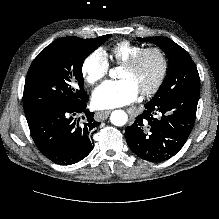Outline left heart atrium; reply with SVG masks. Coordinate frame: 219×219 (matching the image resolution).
I'll return each mask as SVG.
<instances>
[{
    "label": "left heart atrium",
    "mask_w": 219,
    "mask_h": 219,
    "mask_svg": "<svg viewBox=\"0 0 219 219\" xmlns=\"http://www.w3.org/2000/svg\"><path fill=\"white\" fill-rule=\"evenodd\" d=\"M138 89L129 80L107 81L93 92V104L99 109L127 105L136 100Z\"/></svg>",
    "instance_id": "39dd6f15"
}]
</instances>
